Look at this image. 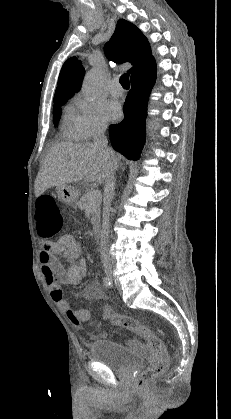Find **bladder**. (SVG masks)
<instances>
[{
  "label": "bladder",
  "mask_w": 231,
  "mask_h": 419,
  "mask_svg": "<svg viewBox=\"0 0 231 419\" xmlns=\"http://www.w3.org/2000/svg\"><path fill=\"white\" fill-rule=\"evenodd\" d=\"M90 358L118 373H127L131 369L141 366L145 361L142 354L133 352L120 343L108 339H99L92 343Z\"/></svg>",
  "instance_id": "31cf9c89"
}]
</instances>
